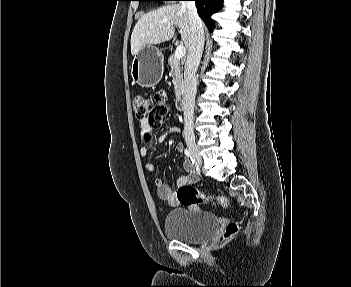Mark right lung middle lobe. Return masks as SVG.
Instances as JSON below:
<instances>
[{
	"label": "right lung middle lobe",
	"instance_id": "right-lung-middle-lobe-1",
	"mask_svg": "<svg viewBox=\"0 0 351 287\" xmlns=\"http://www.w3.org/2000/svg\"><path fill=\"white\" fill-rule=\"evenodd\" d=\"M138 1H169V0H138Z\"/></svg>",
	"mask_w": 351,
	"mask_h": 287
}]
</instances>
